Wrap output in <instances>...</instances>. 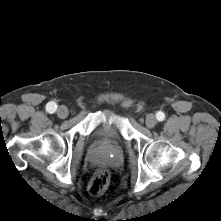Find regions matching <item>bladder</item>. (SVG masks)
Masks as SVG:
<instances>
[{"label": "bladder", "instance_id": "31cf9c89", "mask_svg": "<svg viewBox=\"0 0 221 221\" xmlns=\"http://www.w3.org/2000/svg\"><path fill=\"white\" fill-rule=\"evenodd\" d=\"M99 139H114L120 138V122L117 118L112 117L101 124L96 132Z\"/></svg>", "mask_w": 221, "mask_h": 221}]
</instances>
